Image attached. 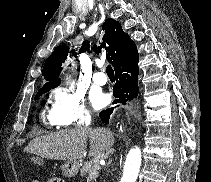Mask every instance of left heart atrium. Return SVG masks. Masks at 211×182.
I'll use <instances>...</instances> for the list:
<instances>
[{"instance_id": "39dd6f15", "label": "left heart atrium", "mask_w": 211, "mask_h": 182, "mask_svg": "<svg viewBox=\"0 0 211 182\" xmlns=\"http://www.w3.org/2000/svg\"><path fill=\"white\" fill-rule=\"evenodd\" d=\"M90 101L95 109H100L107 104V97L102 93H92L90 96Z\"/></svg>"}]
</instances>
